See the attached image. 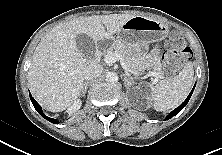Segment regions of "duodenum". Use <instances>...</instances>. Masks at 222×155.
Wrapping results in <instances>:
<instances>
[{"label": "duodenum", "mask_w": 222, "mask_h": 155, "mask_svg": "<svg viewBox=\"0 0 222 155\" xmlns=\"http://www.w3.org/2000/svg\"><path fill=\"white\" fill-rule=\"evenodd\" d=\"M100 54H101V47H100V45H97V47H96V52H95V56H94V60H95V61L98 60Z\"/></svg>", "instance_id": "obj_1"}]
</instances>
